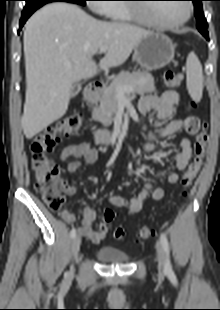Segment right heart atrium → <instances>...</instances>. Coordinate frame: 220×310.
<instances>
[{
  "mask_svg": "<svg viewBox=\"0 0 220 310\" xmlns=\"http://www.w3.org/2000/svg\"><path fill=\"white\" fill-rule=\"evenodd\" d=\"M91 1H104V0H91ZM93 9L103 14L104 8L107 7L105 4H93Z\"/></svg>",
  "mask_w": 220,
  "mask_h": 310,
  "instance_id": "d8ad5b80",
  "label": "right heart atrium"
}]
</instances>
